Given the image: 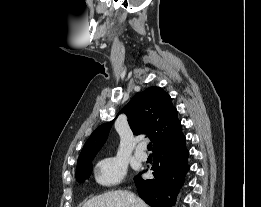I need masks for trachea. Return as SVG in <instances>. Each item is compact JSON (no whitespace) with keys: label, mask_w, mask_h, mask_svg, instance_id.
I'll return each instance as SVG.
<instances>
[{"label":"trachea","mask_w":261,"mask_h":207,"mask_svg":"<svg viewBox=\"0 0 261 207\" xmlns=\"http://www.w3.org/2000/svg\"><path fill=\"white\" fill-rule=\"evenodd\" d=\"M147 148H148L149 151H151L152 150V143H149Z\"/></svg>","instance_id":"1"}]
</instances>
